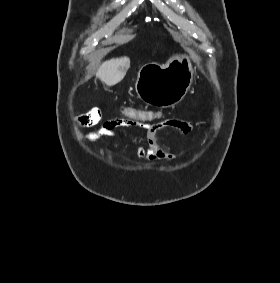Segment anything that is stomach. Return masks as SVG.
I'll return each instance as SVG.
<instances>
[{"label": "stomach", "mask_w": 280, "mask_h": 283, "mask_svg": "<svg viewBox=\"0 0 280 283\" xmlns=\"http://www.w3.org/2000/svg\"><path fill=\"white\" fill-rule=\"evenodd\" d=\"M193 81V67L186 54L173 55L165 65L148 63L138 72L135 89L145 103L171 107L179 103Z\"/></svg>", "instance_id": "stomach-1"}]
</instances>
